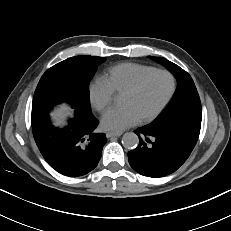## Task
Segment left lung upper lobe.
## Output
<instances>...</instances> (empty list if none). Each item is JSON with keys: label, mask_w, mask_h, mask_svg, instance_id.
Here are the masks:
<instances>
[{"label": "left lung upper lobe", "mask_w": 231, "mask_h": 231, "mask_svg": "<svg viewBox=\"0 0 231 231\" xmlns=\"http://www.w3.org/2000/svg\"><path fill=\"white\" fill-rule=\"evenodd\" d=\"M151 59L165 66L177 79V91L169 108L152 124L157 126L177 123L201 125V102L191 76L178 65L165 58L151 56Z\"/></svg>", "instance_id": "left-lung-upper-lobe-1"}]
</instances>
